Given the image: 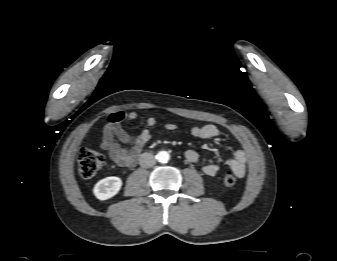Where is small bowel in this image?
I'll return each instance as SVG.
<instances>
[{
    "label": "small bowel",
    "mask_w": 337,
    "mask_h": 261,
    "mask_svg": "<svg viewBox=\"0 0 337 261\" xmlns=\"http://www.w3.org/2000/svg\"><path fill=\"white\" fill-rule=\"evenodd\" d=\"M137 118V113L131 112H115L108 118V123L104 127L101 147L108 151L110 158L120 166L132 167L136 163L137 155L140 153L144 145L150 141L153 136V129L157 121L153 117L146 119V128L139 134L132 135L128 133L122 126L123 121H132ZM163 129L166 131H174L177 125L173 123L164 124ZM191 135L199 139H211L218 135V129L215 125L208 124L204 126L193 127L190 131ZM185 158L190 163H196L199 160V154L192 149L185 152ZM225 163L232 172L239 178H242L246 172V154L243 150L234 152L231 158ZM217 163H208L202 171L207 176H215L219 171Z\"/></svg>",
    "instance_id": "obj_1"
}]
</instances>
